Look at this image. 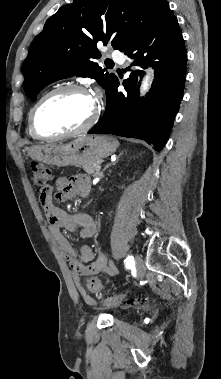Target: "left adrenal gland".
Returning <instances> with one entry per match:
<instances>
[{
    "instance_id": "1",
    "label": "left adrenal gland",
    "mask_w": 221,
    "mask_h": 379,
    "mask_svg": "<svg viewBox=\"0 0 221 379\" xmlns=\"http://www.w3.org/2000/svg\"><path fill=\"white\" fill-rule=\"evenodd\" d=\"M122 155H123V152H121V153L119 154V157L122 156ZM117 162H118V159H117V161H115V162L112 163V164H116ZM110 165H111V164H107V165L105 166V168L103 169V171H105Z\"/></svg>"
}]
</instances>
